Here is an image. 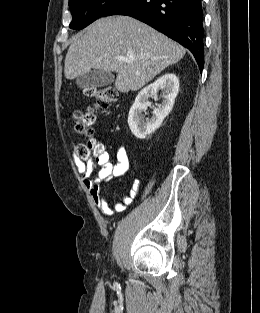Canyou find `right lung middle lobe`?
Wrapping results in <instances>:
<instances>
[{"label":"right lung middle lobe","mask_w":260,"mask_h":313,"mask_svg":"<svg viewBox=\"0 0 260 313\" xmlns=\"http://www.w3.org/2000/svg\"><path fill=\"white\" fill-rule=\"evenodd\" d=\"M119 0H69L72 12L70 28L80 30L104 14Z\"/></svg>","instance_id":"right-lung-middle-lobe-1"}]
</instances>
